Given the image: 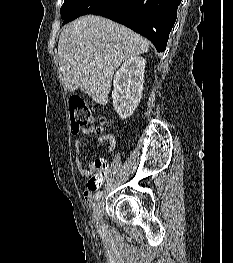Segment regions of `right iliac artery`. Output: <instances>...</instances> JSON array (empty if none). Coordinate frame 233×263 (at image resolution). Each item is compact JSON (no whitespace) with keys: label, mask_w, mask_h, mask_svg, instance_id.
Here are the masks:
<instances>
[{"label":"right iliac artery","mask_w":233,"mask_h":263,"mask_svg":"<svg viewBox=\"0 0 233 263\" xmlns=\"http://www.w3.org/2000/svg\"><path fill=\"white\" fill-rule=\"evenodd\" d=\"M101 196H102V192L99 191L95 194V199L98 201L101 198Z\"/></svg>","instance_id":"1"}]
</instances>
